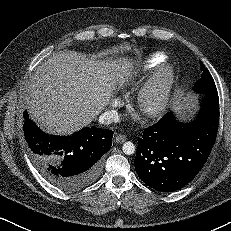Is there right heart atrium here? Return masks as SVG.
I'll use <instances>...</instances> for the list:
<instances>
[{"instance_id": "right-heart-atrium-1", "label": "right heart atrium", "mask_w": 231, "mask_h": 231, "mask_svg": "<svg viewBox=\"0 0 231 231\" xmlns=\"http://www.w3.org/2000/svg\"><path fill=\"white\" fill-rule=\"evenodd\" d=\"M114 104H115V105H118V104H119L118 99H115V100H114Z\"/></svg>"}]
</instances>
